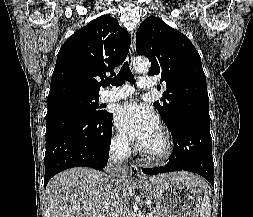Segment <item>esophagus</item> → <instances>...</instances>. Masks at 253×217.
I'll return each mask as SVG.
<instances>
[{
	"label": "esophagus",
	"mask_w": 253,
	"mask_h": 217,
	"mask_svg": "<svg viewBox=\"0 0 253 217\" xmlns=\"http://www.w3.org/2000/svg\"><path fill=\"white\" fill-rule=\"evenodd\" d=\"M134 50H135V38L134 35L131 36V45L129 50V61H132L134 57ZM130 175L132 179L139 180L140 179V173L139 168L135 163H130Z\"/></svg>",
	"instance_id": "esophagus-1"
}]
</instances>
